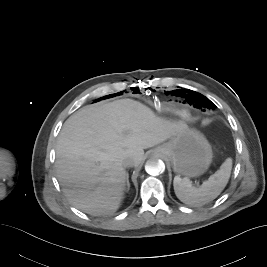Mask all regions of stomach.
Segmentation results:
<instances>
[{
  "label": "stomach",
  "mask_w": 267,
  "mask_h": 267,
  "mask_svg": "<svg viewBox=\"0 0 267 267\" xmlns=\"http://www.w3.org/2000/svg\"><path fill=\"white\" fill-rule=\"evenodd\" d=\"M153 154L168 160L174 172L186 178L204 174L213 158L207 139L194 129H184L173 135L168 142L158 146Z\"/></svg>",
  "instance_id": "1"
}]
</instances>
